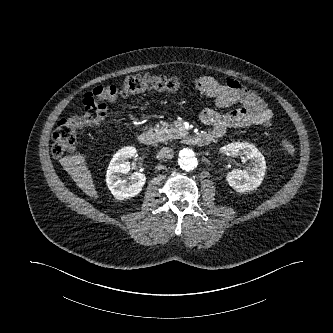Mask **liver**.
Here are the masks:
<instances>
[{"mask_svg": "<svg viewBox=\"0 0 333 333\" xmlns=\"http://www.w3.org/2000/svg\"><path fill=\"white\" fill-rule=\"evenodd\" d=\"M61 165L72 176V179L77 183L78 187L82 189L84 193L91 197H98L96 189L93 184L91 172L85 165V159L83 155L65 156L60 159Z\"/></svg>", "mask_w": 333, "mask_h": 333, "instance_id": "1", "label": "liver"}]
</instances>
